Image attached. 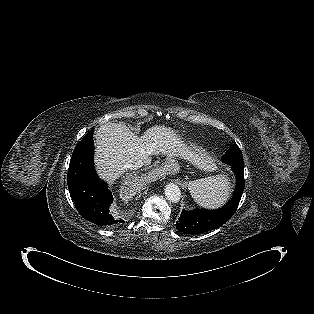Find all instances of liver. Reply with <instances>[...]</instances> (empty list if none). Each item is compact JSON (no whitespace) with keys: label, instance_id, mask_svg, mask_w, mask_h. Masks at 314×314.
<instances>
[{"label":"liver","instance_id":"liver-1","mask_svg":"<svg viewBox=\"0 0 314 314\" xmlns=\"http://www.w3.org/2000/svg\"><path fill=\"white\" fill-rule=\"evenodd\" d=\"M95 165L99 176L110 184L126 170L128 163L142 160L151 163L152 155L163 154L167 159L191 157V151L171 128L154 126L143 136L133 134L125 125L106 123L95 135Z\"/></svg>","mask_w":314,"mask_h":314}]
</instances>
